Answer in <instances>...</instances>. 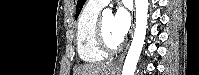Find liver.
Masks as SVG:
<instances>
[{"label": "liver", "mask_w": 199, "mask_h": 75, "mask_svg": "<svg viewBox=\"0 0 199 75\" xmlns=\"http://www.w3.org/2000/svg\"><path fill=\"white\" fill-rule=\"evenodd\" d=\"M112 67L106 63H92L79 66L73 75H110Z\"/></svg>", "instance_id": "6515ba94"}]
</instances>
